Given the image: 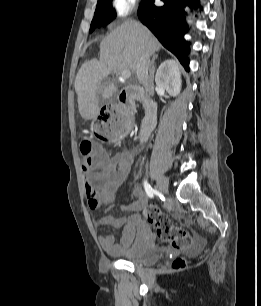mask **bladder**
<instances>
[{
    "instance_id": "bladder-1",
    "label": "bladder",
    "mask_w": 261,
    "mask_h": 306,
    "mask_svg": "<svg viewBox=\"0 0 261 306\" xmlns=\"http://www.w3.org/2000/svg\"><path fill=\"white\" fill-rule=\"evenodd\" d=\"M122 259L134 265L151 266L159 261L160 252L150 241L143 240L133 252L123 256Z\"/></svg>"
}]
</instances>
